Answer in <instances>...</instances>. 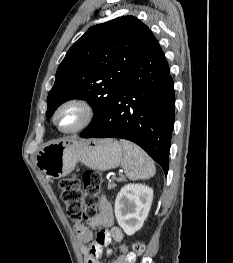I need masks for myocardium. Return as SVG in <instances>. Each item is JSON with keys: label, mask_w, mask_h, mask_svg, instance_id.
Instances as JSON below:
<instances>
[{"label": "myocardium", "mask_w": 233, "mask_h": 263, "mask_svg": "<svg viewBox=\"0 0 233 263\" xmlns=\"http://www.w3.org/2000/svg\"><path fill=\"white\" fill-rule=\"evenodd\" d=\"M68 107H76L79 110H81L82 112V120L81 122L75 126L72 129H62L59 127L58 122H57V118L59 113ZM95 116V112H94V108L93 106L85 99L82 98H70L65 100L64 102H62L55 110L54 114H53V124L54 126L62 133L65 134H72V133H76L84 128H86L88 125H90V123L93 121Z\"/></svg>", "instance_id": "myocardium-1"}]
</instances>
